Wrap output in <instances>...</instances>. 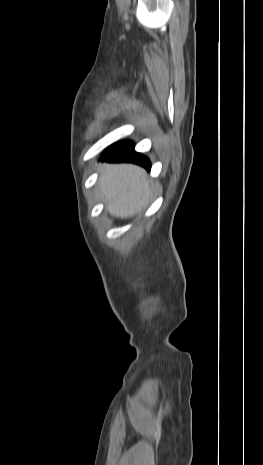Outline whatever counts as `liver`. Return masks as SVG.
Instances as JSON below:
<instances>
[{"mask_svg": "<svg viewBox=\"0 0 263 465\" xmlns=\"http://www.w3.org/2000/svg\"><path fill=\"white\" fill-rule=\"evenodd\" d=\"M98 183L107 202V210L118 218L139 213L152 193L146 171L133 164L104 165Z\"/></svg>", "mask_w": 263, "mask_h": 465, "instance_id": "obj_1", "label": "liver"}]
</instances>
